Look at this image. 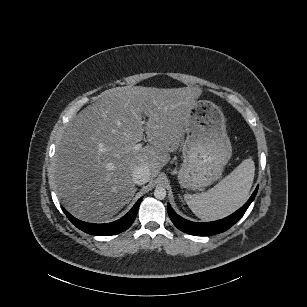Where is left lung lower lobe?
I'll use <instances>...</instances> for the list:
<instances>
[{"mask_svg": "<svg viewBox=\"0 0 307 307\" xmlns=\"http://www.w3.org/2000/svg\"><path fill=\"white\" fill-rule=\"evenodd\" d=\"M258 187L259 186L256 187L255 191L243 207H241L239 210H237L230 216L218 221L207 223H196L188 221L180 217L169 204L167 205L168 214L173 224L185 233L197 236H209L221 233L233 226L244 215L247 208L254 200L258 191Z\"/></svg>", "mask_w": 307, "mask_h": 307, "instance_id": "obj_1", "label": "left lung lower lobe"}]
</instances>
